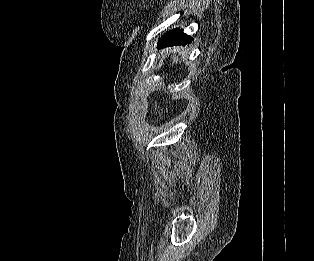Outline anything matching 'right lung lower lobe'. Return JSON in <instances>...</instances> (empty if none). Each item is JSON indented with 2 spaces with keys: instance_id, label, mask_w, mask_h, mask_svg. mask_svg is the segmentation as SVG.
I'll use <instances>...</instances> for the list:
<instances>
[{
  "instance_id": "1",
  "label": "right lung lower lobe",
  "mask_w": 314,
  "mask_h": 261,
  "mask_svg": "<svg viewBox=\"0 0 314 261\" xmlns=\"http://www.w3.org/2000/svg\"><path fill=\"white\" fill-rule=\"evenodd\" d=\"M190 42H192L191 37L187 36L179 29H174L160 39L158 46L165 47L170 45L187 44Z\"/></svg>"
}]
</instances>
